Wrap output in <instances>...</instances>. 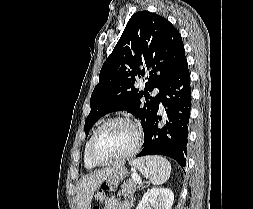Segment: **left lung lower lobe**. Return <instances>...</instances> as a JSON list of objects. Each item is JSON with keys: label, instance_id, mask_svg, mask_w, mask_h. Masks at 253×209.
<instances>
[{"label": "left lung lower lobe", "instance_id": "left-lung-lower-lobe-1", "mask_svg": "<svg viewBox=\"0 0 253 209\" xmlns=\"http://www.w3.org/2000/svg\"><path fill=\"white\" fill-rule=\"evenodd\" d=\"M160 101L166 118L156 114L144 135V147L137 157L163 155L186 165L189 119L191 111L190 73L183 59L162 88Z\"/></svg>", "mask_w": 253, "mask_h": 209}]
</instances>
